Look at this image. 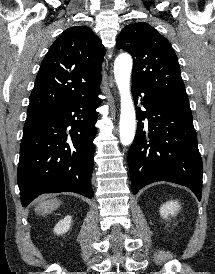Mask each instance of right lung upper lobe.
Here are the masks:
<instances>
[{"label":"right lung upper lobe","instance_id":"right-lung-upper-lobe-1","mask_svg":"<svg viewBox=\"0 0 215 274\" xmlns=\"http://www.w3.org/2000/svg\"><path fill=\"white\" fill-rule=\"evenodd\" d=\"M104 53L100 39L89 27L66 29L41 63L28 112H52L89 92L101 80Z\"/></svg>","mask_w":215,"mask_h":274}]
</instances>
